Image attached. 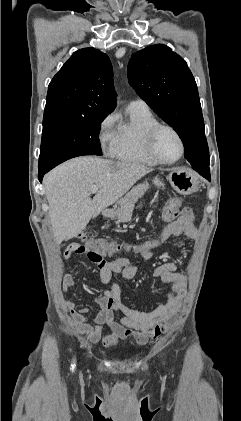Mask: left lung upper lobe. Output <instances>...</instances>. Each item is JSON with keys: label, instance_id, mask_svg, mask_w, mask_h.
<instances>
[{"label": "left lung upper lobe", "instance_id": "left-lung-upper-lobe-1", "mask_svg": "<svg viewBox=\"0 0 241 421\" xmlns=\"http://www.w3.org/2000/svg\"><path fill=\"white\" fill-rule=\"evenodd\" d=\"M128 78L137 94L178 133L185 158L209 165L198 89L186 61L166 45L149 46L132 54Z\"/></svg>", "mask_w": 241, "mask_h": 421}]
</instances>
